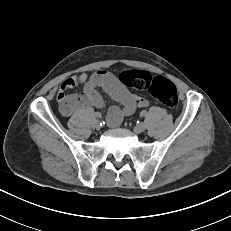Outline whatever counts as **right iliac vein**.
<instances>
[{
	"instance_id": "right-iliac-vein-1",
	"label": "right iliac vein",
	"mask_w": 231,
	"mask_h": 231,
	"mask_svg": "<svg viewBox=\"0 0 231 231\" xmlns=\"http://www.w3.org/2000/svg\"><path fill=\"white\" fill-rule=\"evenodd\" d=\"M94 127L96 128V129H100L101 128V126H100V121L99 120H95L94 121Z\"/></svg>"
}]
</instances>
